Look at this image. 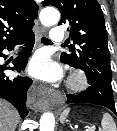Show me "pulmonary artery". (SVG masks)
I'll list each match as a JSON object with an SVG mask.
<instances>
[{
    "mask_svg": "<svg viewBox=\"0 0 117 131\" xmlns=\"http://www.w3.org/2000/svg\"><path fill=\"white\" fill-rule=\"evenodd\" d=\"M64 32L60 27H54L51 30V34H50V40L53 43H61L64 41Z\"/></svg>",
    "mask_w": 117,
    "mask_h": 131,
    "instance_id": "e3ab8cb5",
    "label": "pulmonary artery"
}]
</instances>
